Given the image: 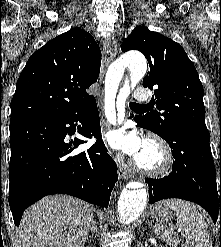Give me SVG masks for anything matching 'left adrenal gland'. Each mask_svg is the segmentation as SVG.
Instances as JSON below:
<instances>
[{
    "label": "left adrenal gland",
    "instance_id": "obj_1",
    "mask_svg": "<svg viewBox=\"0 0 221 247\" xmlns=\"http://www.w3.org/2000/svg\"><path fill=\"white\" fill-rule=\"evenodd\" d=\"M150 226H153V222L152 221H149L148 222Z\"/></svg>",
    "mask_w": 221,
    "mask_h": 247
}]
</instances>
